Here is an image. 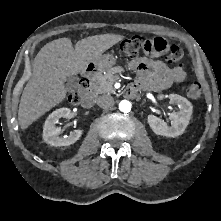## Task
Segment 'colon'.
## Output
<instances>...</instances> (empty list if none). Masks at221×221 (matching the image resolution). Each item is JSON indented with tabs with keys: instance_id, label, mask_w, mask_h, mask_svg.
I'll use <instances>...</instances> for the list:
<instances>
[{
	"instance_id": "obj_1",
	"label": "colon",
	"mask_w": 221,
	"mask_h": 221,
	"mask_svg": "<svg viewBox=\"0 0 221 221\" xmlns=\"http://www.w3.org/2000/svg\"><path fill=\"white\" fill-rule=\"evenodd\" d=\"M121 51L129 56L135 57L141 50L164 52L169 50V61L177 67L182 68V50L176 46H168L167 42L162 38L144 39L142 36L135 35L124 40L120 45ZM84 83L81 81L79 87L70 94L69 101L72 104H80L83 101ZM187 95L195 101L202 99V91L199 83H192L187 88Z\"/></svg>"
}]
</instances>
